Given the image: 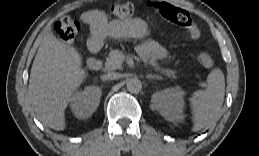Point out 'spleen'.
I'll return each instance as SVG.
<instances>
[{"mask_svg": "<svg viewBox=\"0 0 259 156\" xmlns=\"http://www.w3.org/2000/svg\"><path fill=\"white\" fill-rule=\"evenodd\" d=\"M225 95V78L219 69H213L207 77V87L197 90L190 97L193 114V130L198 131L208 126L219 114Z\"/></svg>", "mask_w": 259, "mask_h": 156, "instance_id": "obj_1", "label": "spleen"}]
</instances>
